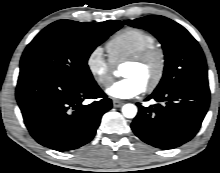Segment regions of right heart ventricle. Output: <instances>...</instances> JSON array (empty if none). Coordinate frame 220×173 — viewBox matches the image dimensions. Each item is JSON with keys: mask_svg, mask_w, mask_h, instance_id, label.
<instances>
[{"mask_svg": "<svg viewBox=\"0 0 220 173\" xmlns=\"http://www.w3.org/2000/svg\"><path fill=\"white\" fill-rule=\"evenodd\" d=\"M157 45L150 33L138 28H125L116 33L107 43L106 49L114 65Z\"/></svg>", "mask_w": 220, "mask_h": 173, "instance_id": "e07e8e85", "label": "right heart ventricle"}]
</instances>
